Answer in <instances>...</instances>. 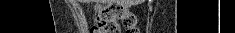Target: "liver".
<instances>
[{"label": "liver", "mask_w": 235, "mask_h": 33, "mask_svg": "<svg viewBox=\"0 0 235 33\" xmlns=\"http://www.w3.org/2000/svg\"><path fill=\"white\" fill-rule=\"evenodd\" d=\"M87 2H90V1H94V0H86ZM103 3H105L104 1H102ZM140 1H128V4L131 6V5H133V4H137V3H139Z\"/></svg>", "instance_id": "liver-1"}]
</instances>
